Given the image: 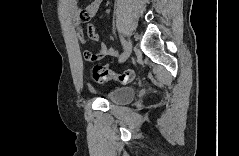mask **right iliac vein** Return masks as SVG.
<instances>
[{
  "mask_svg": "<svg viewBox=\"0 0 239 156\" xmlns=\"http://www.w3.org/2000/svg\"><path fill=\"white\" fill-rule=\"evenodd\" d=\"M131 50H132V42H131V40L129 39V40L127 41V44H126V48L124 49V53H123V55H122L121 58H120V62H121V63L125 62V61L128 59V57H129L130 54H131Z\"/></svg>",
  "mask_w": 239,
  "mask_h": 156,
  "instance_id": "1",
  "label": "right iliac vein"
}]
</instances>
